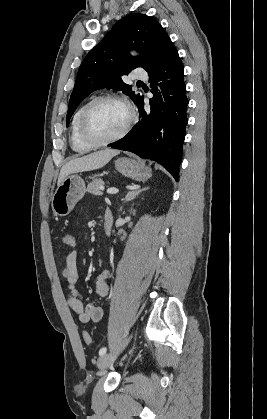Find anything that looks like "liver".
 Returning <instances> with one entry per match:
<instances>
[{
	"label": "liver",
	"mask_w": 267,
	"mask_h": 419,
	"mask_svg": "<svg viewBox=\"0 0 267 419\" xmlns=\"http://www.w3.org/2000/svg\"><path fill=\"white\" fill-rule=\"evenodd\" d=\"M119 153V150L105 149L68 161L60 170L58 185L69 174L102 168Z\"/></svg>",
	"instance_id": "obj_1"
}]
</instances>
